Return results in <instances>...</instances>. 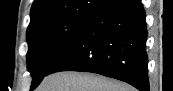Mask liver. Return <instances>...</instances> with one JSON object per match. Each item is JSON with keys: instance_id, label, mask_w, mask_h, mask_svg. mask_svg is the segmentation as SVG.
Segmentation results:
<instances>
[{"instance_id": "1", "label": "liver", "mask_w": 173, "mask_h": 91, "mask_svg": "<svg viewBox=\"0 0 173 91\" xmlns=\"http://www.w3.org/2000/svg\"><path fill=\"white\" fill-rule=\"evenodd\" d=\"M36 91H135L124 82L81 72H57L46 76Z\"/></svg>"}]
</instances>
